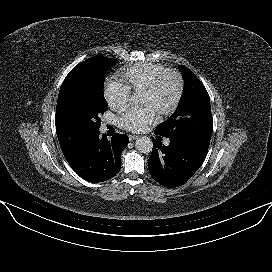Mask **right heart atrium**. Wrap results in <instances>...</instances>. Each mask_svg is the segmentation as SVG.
<instances>
[{"label":"right heart atrium","mask_w":272,"mask_h":272,"mask_svg":"<svg viewBox=\"0 0 272 272\" xmlns=\"http://www.w3.org/2000/svg\"><path fill=\"white\" fill-rule=\"evenodd\" d=\"M104 97L110 108L118 110L130 101L131 88L120 79L111 77L105 82Z\"/></svg>","instance_id":"obj_1"}]
</instances>
